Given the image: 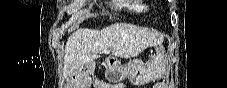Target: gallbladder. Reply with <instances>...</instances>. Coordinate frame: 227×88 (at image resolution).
<instances>
[{"label":"gallbladder","instance_id":"gallbladder-1","mask_svg":"<svg viewBox=\"0 0 227 88\" xmlns=\"http://www.w3.org/2000/svg\"><path fill=\"white\" fill-rule=\"evenodd\" d=\"M66 84H67V82H66V81H64L63 85L65 86Z\"/></svg>","mask_w":227,"mask_h":88}]
</instances>
